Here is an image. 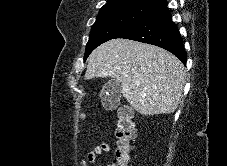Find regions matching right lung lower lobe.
I'll list each match as a JSON object with an SVG mask.
<instances>
[{
    "instance_id": "obj_1",
    "label": "right lung lower lobe",
    "mask_w": 227,
    "mask_h": 166,
    "mask_svg": "<svg viewBox=\"0 0 227 166\" xmlns=\"http://www.w3.org/2000/svg\"><path fill=\"white\" fill-rule=\"evenodd\" d=\"M117 38L131 39L164 48L178 57L184 64L187 54L178 28L172 22L165 3L146 19Z\"/></svg>"
}]
</instances>
